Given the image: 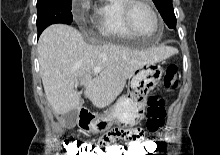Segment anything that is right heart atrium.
Returning a JSON list of instances; mask_svg holds the SVG:
<instances>
[{
	"mask_svg": "<svg viewBox=\"0 0 220 155\" xmlns=\"http://www.w3.org/2000/svg\"><path fill=\"white\" fill-rule=\"evenodd\" d=\"M87 6V2L82 3V7L85 8Z\"/></svg>",
	"mask_w": 220,
	"mask_h": 155,
	"instance_id": "d8ad5b80",
	"label": "right heart atrium"
}]
</instances>
